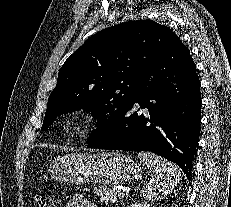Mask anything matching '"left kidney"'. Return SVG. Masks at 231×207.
Instances as JSON below:
<instances>
[{
	"instance_id": "obj_1",
	"label": "left kidney",
	"mask_w": 231,
	"mask_h": 207,
	"mask_svg": "<svg viewBox=\"0 0 231 207\" xmlns=\"http://www.w3.org/2000/svg\"><path fill=\"white\" fill-rule=\"evenodd\" d=\"M131 207H152V206L147 202H144V203H135Z\"/></svg>"
}]
</instances>
